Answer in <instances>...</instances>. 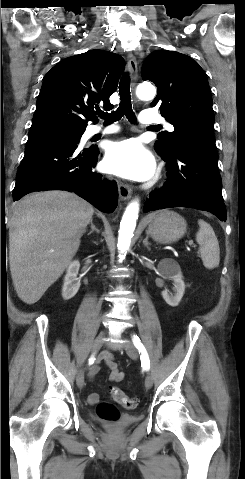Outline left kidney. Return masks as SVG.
<instances>
[{
    "instance_id": "left-kidney-1",
    "label": "left kidney",
    "mask_w": 245,
    "mask_h": 479,
    "mask_svg": "<svg viewBox=\"0 0 245 479\" xmlns=\"http://www.w3.org/2000/svg\"><path fill=\"white\" fill-rule=\"evenodd\" d=\"M158 271L162 276L171 278L174 284V295L165 289L162 291L163 299L172 307L178 306L185 292V284L179 264L174 259L165 258L159 262Z\"/></svg>"
}]
</instances>
